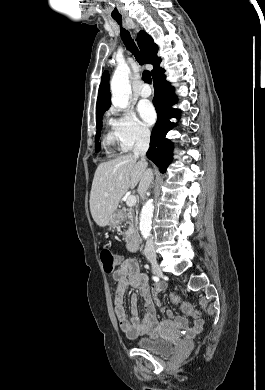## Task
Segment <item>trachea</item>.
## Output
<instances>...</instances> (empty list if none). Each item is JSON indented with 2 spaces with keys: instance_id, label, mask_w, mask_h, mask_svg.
<instances>
[{
  "instance_id": "1",
  "label": "trachea",
  "mask_w": 265,
  "mask_h": 390,
  "mask_svg": "<svg viewBox=\"0 0 265 390\" xmlns=\"http://www.w3.org/2000/svg\"><path fill=\"white\" fill-rule=\"evenodd\" d=\"M114 20L120 26L122 25V18H114ZM120 35H121V39H122L123 43L125 44V46L127 47V49L135 56V58L139 62V64L143 65L144 64L143 59H141L138 48H137L135 42L133 41V39L131 38L130 33L126 29L121 27ZM142 78L146 83L150 84L152 82L151 73L147 70L143 72Z\"/></svg>"
}]
</instances>
